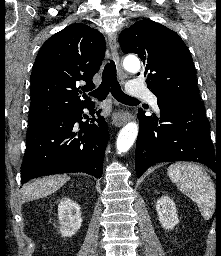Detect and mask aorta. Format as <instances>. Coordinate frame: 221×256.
Here are the masks:
<instances>
[{"label":"aorta","mask_w":221,"mask_h":256,"mask_svg":"<svg viewBox=\"0 0 221 256\" xmlns=\"http://www.w3.org/2000/svg\"><path fill=\"white\" fill-rule=\"evenodd\" d=\"M124 67L130 72H138L140 69V62L137 58L127 59L124 61ZM138 135V125L135 122L126 124L120 131L116 147L119 153L127 152L133 145Z\"/></svg>","instance_id":"aorta-1"}]
</instances>
